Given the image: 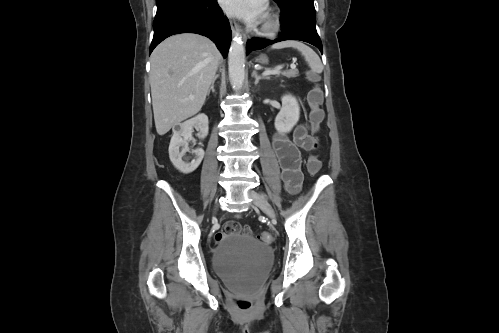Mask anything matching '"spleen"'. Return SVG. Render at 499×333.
<instances>
[{
	"mask_svg": "<svg viewBox=\"0 0 499 333\" xmlns=\"http://www.w3.org/2000/svg\"><path fill=\"white\" fill-rule=\"evenodd\" d=\"M294 48L297 49L302 56L304 57L305 61L308 63L309 67L311 70L315 73H322L323 71V65L321 63V60L319 56L311 49L309 46L305 45L302 42L295 41V40H287L283 42L276 43L272 45V49H282V48Z\"/></svg>",
	"mask_w": 499,
	"mask_h": 333,
	"instance_id": "1",
	"label": "spleen"
}]
</instances>
